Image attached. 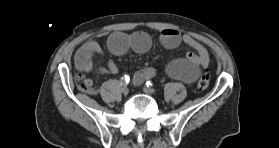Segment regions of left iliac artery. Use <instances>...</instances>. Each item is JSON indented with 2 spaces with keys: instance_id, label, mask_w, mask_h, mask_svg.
I'll list each match as a JSON object with an SVG mask.
<instances>
[{
  "instance_id": "1",
  "label": "left iliac artery",
  "mask_w": 279,
  "mask_h": 148,
  "mask_svg": "<svg viewBox=\"0 0 279 148\" xmlns=\"http://www.w3.org/2000/svg\"><path fill=\"white\" fill-rule=\"evenodd\" d=\"M146 86L151 88V87L153 86V84H152V82L147 81V82H146Z\"/></svg>"
}]
</instances>
